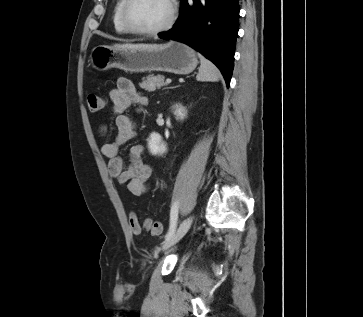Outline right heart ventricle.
<instances>
[{
	"instance_id": "obj_1",
	"label": "right heart ventricle",
	"mask_w": 363,
	"mask_h": 317,
	"mask_svg": "<svg viewBox=\"0 0 363 317\" xmlns=\"http://www.w3.org/2000/svg\"><path fill=\"white\" fill-rule=\"evenodd\" d=\"M124 2H125V0H116V3L113 8V12H112V22H113L114 30L118 34H122V35L128 34V31L124 27V25L122 23V19H121V10H122Z\"/></svg>"
}]
</instances>
